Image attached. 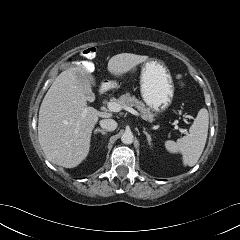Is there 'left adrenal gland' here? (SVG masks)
Segmentation results:
<instances>
[{"mask_svg": "<svg viewBox=\"0 0 240 240\" xmlns=\"http://www.w3.org/2000/svg\"><path fill=\"white\" fill-rule=\"evenodd\" d=\"M143 133L146 135L149 145H151V135L146 131V128H143Z\"/></svg>", "mask_w": 240, "mask_h": 240, "instance_id": "a2214340", "label": "left adrenal gland"}]
</instances>
